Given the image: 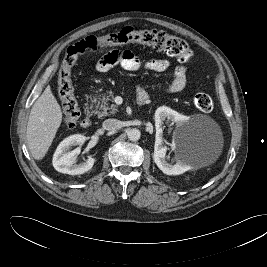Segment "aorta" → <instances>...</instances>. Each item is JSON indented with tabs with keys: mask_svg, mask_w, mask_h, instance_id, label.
Masks as SVG:
<instances>
[{
	"mask_svg": "<svg viewBox=\"0 0 267 267\" xmlns=\"http://www.w3.org/2000/svg\"><path fill=\"white\" fill-rule=\"evenodd\" d=\"M127 136H128V139H129L130 141L135 142V141H138V140L140 139V137H141V132H140L138 129L133 128V129H130V130L128 131Z\"/></svg>",
	"mask_w": 267,
	"mask_h": 267,
	"instance_id": "aorta-1",
	"label": "aorta"
}]
</instances>
